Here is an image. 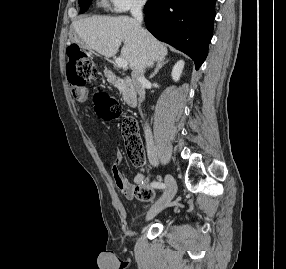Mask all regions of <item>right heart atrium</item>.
I'll list each match as a JSON object with an SVG mask.
<instances>
[{
    "instance_id": "obj_1",
    "label": "right heart atrium",
    "mask_w": 286,
    "mask_h": 269,
    "mask_svg": "<svg viewBox=\"0 0 286 269\" xmlns=\"http://www.w3.org/2000/svg\"><path fill=\"white\" fill-rule=\"evenodd\" d=\"M108 7L116 13L142 8L147 0H106Z\"/></svg>"
}]
</instances>
